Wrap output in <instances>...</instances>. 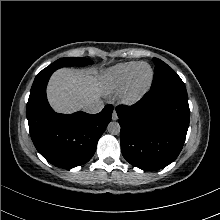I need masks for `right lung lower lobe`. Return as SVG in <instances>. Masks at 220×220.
I'll return each instance as SVG.
<instances>
[{
    "mask_svg": "<svg viewBox=\"0 0 220 220\" xmlns=\"http://www.w3.org/2000/svg\"><path fill=\"white\" fill-rule=\"evenodd\" d=\"M54 71L37 75L27 103L31 139L37 151L51 164L71 169L88 162L97 142L111 121L112 105L98 114H57L46 97V86Z\"/></svg>",
    "mask_w": 220,
    "mask_h": 220,
    "instance_id": "1",
    "label": "right lung lower lobe"
}]
</instances>
